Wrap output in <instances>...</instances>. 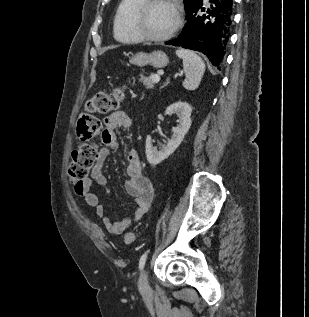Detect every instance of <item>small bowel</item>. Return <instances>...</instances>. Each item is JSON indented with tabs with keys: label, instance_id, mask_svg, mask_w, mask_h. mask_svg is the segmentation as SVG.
<instances>
[{
	"label": "small bowel",
	"instance_id": "small-bowel-1",
	"mask_svg": "<svg viewBox=\"0 0 309 317\" xmlns=\"http://www.w3.org/2000/svg\"><path fill=\"white\" fill-rule=\"evenodd\" d=\"M104 125L105 129L101 133L103 147L98 151L96 163L92 167L89 176L75 185V193L82 197L88 206L94 208L95 215L103 220L104 227L110 234L118 235L145 216L152 203L154 190L151 181L143 174L137 151L131 149L127 154V178L124 187L134 200V212L119 221H112L105 216L104 204L99 195L93 192L92 189L94 185L97 187L106 186V178L102 170L103 164L110 150L118 148L116 130L118 128H129L131 120L125 112L117 111L105 117Z\"/></svg>",
	"mask_w": 309,
	"mask_h": 317
}]
</instances>
